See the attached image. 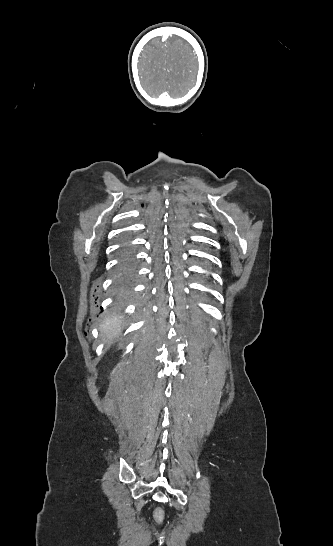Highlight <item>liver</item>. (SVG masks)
Returning <instances> with one entry per match:
<instances>
[{
  "label": "liver",
  "instance_id": "obj_1",
  "mask_svg": "<svg viewBox=\"0 0 333 546\" xmlns=\"http://www.w3.org/2000/svg\"><path fill=\"white\" fill-rule=\"evenodd\" d=\"M123 323V316L113 315L106 318L100 325V332L104 339H112L121 332V325Z\"/></svg>",
  "mask_w": 333,
  "mask_h": 546
}]
</instances>
